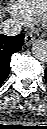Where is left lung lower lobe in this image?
<instances>
[{
    "instance_id": "1",
    "label": "left lung lower lobe",
    "mask_w": 47,
    "mask_h": 129,
    "mask_svg": "<svg viewBox=\"0 0 47 129\" xmlns=\"http://www.w3.org/2000/svg\"><path fill=\"white\" fill-rule=\"evenodd\" d=\"M45 77H46V82H47V68L45 70Z\"/></svg>"
}]
</instances>
